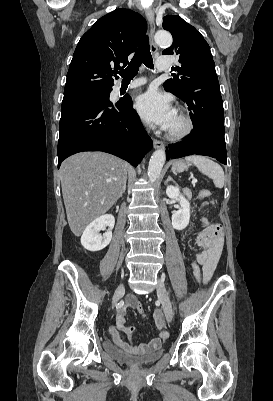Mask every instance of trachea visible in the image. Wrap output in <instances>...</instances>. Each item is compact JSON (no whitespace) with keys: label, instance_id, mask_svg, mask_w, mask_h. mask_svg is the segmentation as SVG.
Masks as SVG:
<instances>
[{"label":"trachea","instance_id":"3493384b","mask_svg":"<svg viewBox=\"0 0 273 401\" xmlns=\"http://www.w3.org/2000/svg\"><path fill=\"white\" fill-rule=\"evenodd\" d=\"M142 63H144V65L148 68L154 67L147 36H145L141 41L128 67L119 73L123 78V81H131V79L137 75L139 67Z\"/></svg>","mask_w":273,"mask_h":401}]
</instances>
